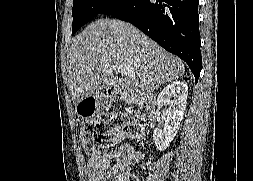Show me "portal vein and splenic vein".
Wrapping results in <instances>:
<instances>
[{"mask_svg":"<svg viewBox=\"0 0 253 181\" xmlns=\"http://www.w3.org/2000/svg\"><path fill=\"white\" fill-rule=\"evenodd\" d=\"M118 72L122 75H128V76L134 75V69L130 65H120L118 67Z\"/></svg>","mask_w":253,"mask_h":181,"instance_id":"portal-vein-and-splenic-vein-1","label":"portal vein and splenic vein"}]
</instances>
